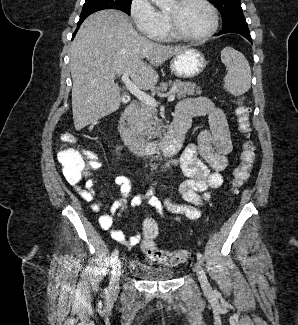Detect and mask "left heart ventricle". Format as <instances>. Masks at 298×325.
<instances>
[{
    "label": "left heart ventricle",
    "instance_id": "1",
    "mask_svg": "<svg viewBox=\"0 0 298 325\" xmlns=\"http://www.w3.org/2000/svg\"><path fill=\"white\" fill-rule=\"evenodd\" d=\"M162 5L171 10L178 29L186 36L202 35L210 27L209 13L205 7L195 1H188L181 5L163 1Z\"/></svg>",
    "mask_w": 298,
    "mask_h": 325
}]
</instances>
